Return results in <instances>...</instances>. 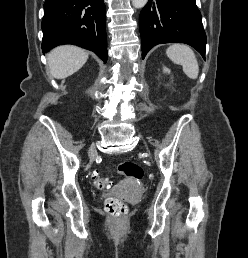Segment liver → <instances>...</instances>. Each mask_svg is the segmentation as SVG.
Listing matches in <instances>:
<instances>
[{
  "label": "liver",
  "instance_id": "1",
  "mask_svg": "<svg viewBox=\"0 0 248 258\" xmlns=\"http://www.w3.org/2000/svg\"><path fill=\"white\" fill-rule=\"evenodd\" d=\"M88 53L76 46L65 45L53 49L47 55L52 76L64 79L77 72L87 61Z\"/></svg>",
  "mask_w": 248,
  "mask_h": 258
}]
</instances>
